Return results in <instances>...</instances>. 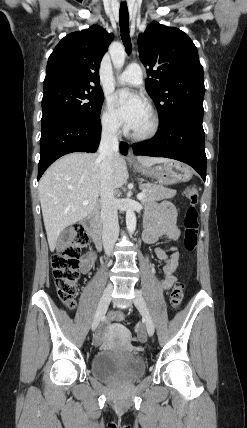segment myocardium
Returning <instances> with one entry per match:
<instances>
[{"mask_svg":"<svg viewBox=\"0 0 247 428\" xmlns=\"http://www.w3.org/2000/svg\"><path fill=\"white\" fill-rule=\"evenodd\" d=\"M148 112L151 118V125L149 129L145 132L138 133L133 131L131 137L136 141H148L153 139L160 130V118L158 113L152 108H148Z\"/></svg>","mask_w":247,"mask_h":428,"instance_id":"obj_1","label":"myocardium"}]
</instances>
